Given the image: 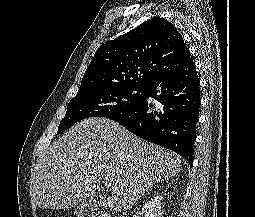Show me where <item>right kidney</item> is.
<instances>
[{
  "label": "right kidney",
  "mask_w": 255,
  "mask_h": 217,
  "mask_svg": "<svg viewBox=\"0 0 255 217\" xmlns=\"http://www.w3.org/2000/svg\"><path fill=\"white\" fill-rule=\"evenodd\" d=\"M163 197L157 195L148 201L142 208L145 217H161Z\"/></svg>",
  "instance_id": "obj_1"
}]
</instances>
